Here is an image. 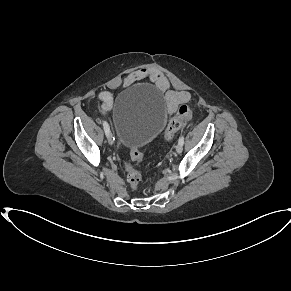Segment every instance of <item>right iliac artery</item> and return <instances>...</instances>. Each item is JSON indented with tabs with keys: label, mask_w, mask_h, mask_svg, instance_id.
<instances>
[{
	"label": "right iliac artery",
	"mask_w": 291,
	"mask_h": 291,
	"mask_svg": "<svg viewBox=\"0 0 291 291\" xmlns=\"http://www.w3.org/2000/svg\"><path fill=\"white\" fill-rule=\"evenodd\" d=\"M103 128H104V131L107 135L110 132V128H109V125L106 121H103Z\"/></svg>",
	"instance_id": "82829eb1"
}]
</instances>
